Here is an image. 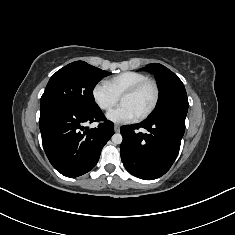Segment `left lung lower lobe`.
Here are the masks:
<instances>
[{"label":"left lung lower lobe","instance_id":"1","mask_svg":"<svg viewBox=\"0 0 235 235\" xmlns=\"http://www.w3.org/2000/svg\"><path fill=\"white\" fill-rule=\"evenodd\" d=\"M186 115L168 113L147 118L139 124L122 126V162L129 173L153 180L164 175L174 163L185 131ZM144 128L148 133L138 132Z\"/></svg>","mask_w":235,"mask_h":235}]
</instances>
